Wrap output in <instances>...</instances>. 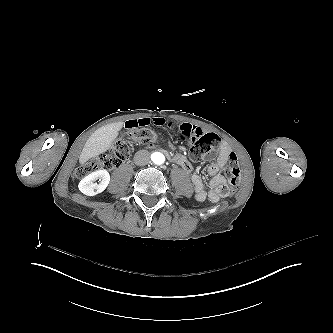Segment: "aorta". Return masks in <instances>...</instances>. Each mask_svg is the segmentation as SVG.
<instances>
[{"instance_id":"aorta-1","label":"aorta","mask_w":333,"mask_h":333,"mask_svg":"<svg viewBox=\"0 0 333 333\" xmlns=\"http://www.w3.org/2000/svg\"><path fill=\"white\" fill-rule=\"evenodd\" d=\"M151 158L156 165H162L165 162V156L160 152L153 153Z\"/></svg>"}]
</instances>
